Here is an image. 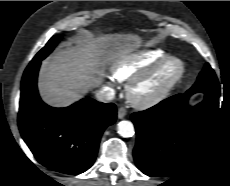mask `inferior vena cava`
<instances>
[{
  "instance_id": "602c4592",
  "label": "inferior vena cava",
  "mask_w": 230,
  "mask_h": 186,
  "mask_svg": "<svg viewBox=\"0 0 230 186\" xmlns=\"http://www.w3.org/2000/svg\"><path fill=\"white\" fill-rule=\"evenodd\" d=\"M114 97H115V91L110 87H103L101 90H99L96 93V98L100 102H109L113 100Z\"/></svg>"
}]
</instances>
